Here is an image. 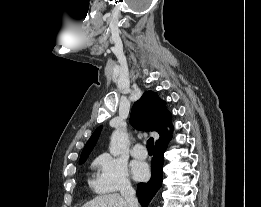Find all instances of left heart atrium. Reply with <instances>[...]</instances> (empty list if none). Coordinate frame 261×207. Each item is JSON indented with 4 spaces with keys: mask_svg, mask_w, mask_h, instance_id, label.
<instances>
[{
    "mask_svg": "<svg viewBox=\"0 0 261 207\" xmlns=\"http://www.w3.org/2000/svg\"><path fill=\"white\" fill-rule=\"evenodd\" d=\"M133 176L137 180H142L148 175V166L143 162L135 161L132 163Z\"/></svg>",
    "mask_w": 261,
    "mask_h": 207,
    "instance_id": "obj_1",
    "label": "left heart atrium"
}]
</instances>
